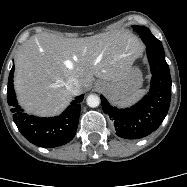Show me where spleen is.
<instances>
[{
    "instance_id": "1",
    "label": "spleen",
    "mask_w": 187,
    "mask_h": 187,
    "mask_svg": "<svg viewBox=\"0 0 187 187\" xmlns=\"http://www.w3.org/2000/svg\"><path fill=\"white\" fill-rule=\"evenodd\" d=\"M146 93L145 89H141L133 93L131 96L117 102V105L120 107H128L131 104L137 102L141 97Z\"/></svg>"
}]
</instances>
